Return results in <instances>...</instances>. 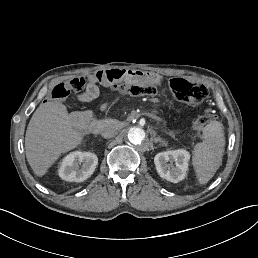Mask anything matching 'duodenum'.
<instances>
[{
    "label": "duodenum",
    "instance_id": "obj_1",
    "mask_svg": "<svg viewBox=\"0 0 258 258\" xmlns=\"http://www.w3.org/2000/svg\"><path fill=\"white\" fill-rule=\"evenodd\" d=\"M131 77V71L122 68H113L109 70H105L102 72H98L95 75L90 77V82L93 85L97 83L102 84L106 87H113L119 85L124 80H127Z\"/></svg>",
    "mask_w": 258,
    "mask_h": 258
}]
</instances>
